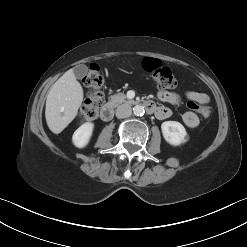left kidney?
Returning a JSON list of instances; mask_svg holds the SVG:
<instances>
[{"label":"left kidney","mask_w":247,"mask_h":247,"mask_svg":"<svg viewBox=\"0 0 247 247\" xmlns=\"http://www.w3.org/2000/svg\"><path fill=\"white\" fill-rule=\"evenodd\" d=\"M164 139L173 146H179L187 141L184 126L177 121H165L161 125Z\"/></svg>","instance_id":"1"}]
</instances>
